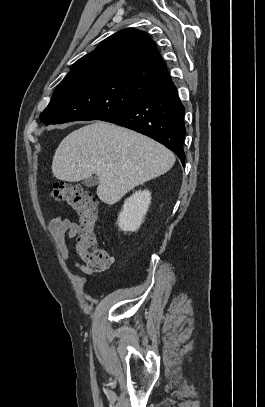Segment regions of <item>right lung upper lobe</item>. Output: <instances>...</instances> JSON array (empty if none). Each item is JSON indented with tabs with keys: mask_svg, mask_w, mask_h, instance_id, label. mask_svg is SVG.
<instances>
[{
	"mask_svg": "<svg viewBox=\"0 0 265 407\" xmlns=\"http://www.w3.org/2000/svg\"><path fill=\"white\" fill-rule=\"evenodd\" d=\"M85 74L129 79L152 87L170 78L153 40L135 29H125L105 39L76 61L63 80Z\"/></svg>",
	"mask_w": 265,
	"mask_h": 407,
	"instance_id": "obj_1",
	"label": "right lung upper lobe"
}]
</instances>
